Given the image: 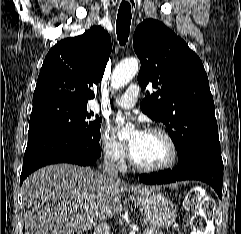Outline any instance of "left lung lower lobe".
Wrapping results in <instances>:
<instances>
[{"mask_svg": "<svg viewBox=\"0 0 241 234\" xmlns=\"http://www.w3.org/2000/svg\"><path fill=\"white\" fill-rule=\"evenodd\" d=\"M191 179L211 185L222 199L223 161L221 153L197 151L183 158L172 170L139 176V180L145 184H166Z\"/></svg>", "mask_w": 241, "mask_h": 234, "instance_id": "left-lung-lower-lobe-1", "label": "left lung lower lobe"}]
</instances>
